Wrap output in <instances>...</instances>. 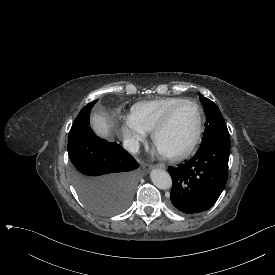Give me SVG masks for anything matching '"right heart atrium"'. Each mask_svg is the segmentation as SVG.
<instances>
[{"label":"right heart atrium","mask_w":275,"mask_h":275,"mask_svg":"<svg viewBox=\"0 0 275 275\" xmlns=\"http://www.w3.org/2000/svg\"><path fill=\"white\" fill-rule=\"evenodd\" d=\"M113 127L118 137L130 148L135 149L145 138V132L130 120L117 119Z\"/></svg>","instance_id":"right-heart-atrium-1"}]
</instances>
